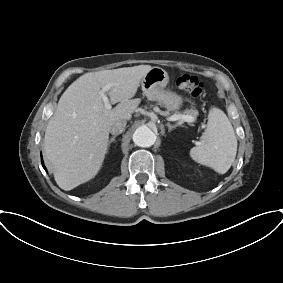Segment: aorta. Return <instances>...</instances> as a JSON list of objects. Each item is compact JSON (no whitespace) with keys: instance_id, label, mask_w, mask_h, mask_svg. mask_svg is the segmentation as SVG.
Listing matches in <instances>:
<instances>
[{"instance_id":"1","label":"aorta","mask_w":283,"mask_h":283,"mask_svg":"<svg viewBox=\"0 0 283 283\" xmlns=\"http://www.w3.org/2000/svg\"><path fill=\"white\" fill-rule=\"evenodd\" d=\"M155 141V133L146 125L138 127L133 134V142L139 147H151Z\"/></svg>"}]
</instances>
